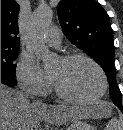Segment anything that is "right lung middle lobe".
Returning <instances> with one entry per match:
<instances>
[{"instance_id": "obj_1", "label": "right lung middle lobe", "mask_w": 123, "mask_h": 130, "mask_svg": "<svg viewBox=\"0 0 123 130\" xmlns=\"http://www.w3.org/2000/svg\"><path fill=\"white\" fill-rule=\"evenodd\" d=\"M19 49L1 48V78L7 79L11 82L15 81V67L14 60L18 56Z\"/></svg>"}]
</instances>
